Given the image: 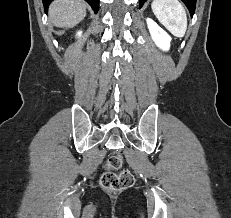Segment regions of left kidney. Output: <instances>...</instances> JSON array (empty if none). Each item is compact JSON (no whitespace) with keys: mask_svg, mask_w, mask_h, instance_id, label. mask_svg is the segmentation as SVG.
Masks as SVG:
<instances>
[{"mask_svg":"<svg viewBox=\"0 0 231 218\" xmlns=\"http://www.w3.org/2000/svg\"><path fill=\"white\" fill-rule=\"evenodd\" d=\"M147 25L155 44L162 50H169L171 37L156 22L147 18Z\"/></svg>","mask_w":231,"mask_h":218,"instance_id":"left-kidney-1","label":"left kidney"}]
</instances>
